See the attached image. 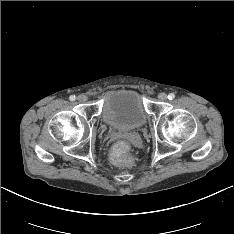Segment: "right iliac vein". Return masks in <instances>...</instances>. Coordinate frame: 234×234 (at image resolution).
Listing matches in <instances>:
<instances>
[{"instance_id":"1","label":"right iliac vein","mask_w":234,"mask_h":234,"mask_svg":"<svg viewBox=\"0 0 234 234\" xmlns=\"http://www.w3.org/2000/svg\"><path fill=\"white\" fill-rule=\"evenodd\" d=\"M77 99H78L79 102L83 103V102L87 101V96L84 95V94H81V95L78 96Z\"/></svg>"}]
</instances>
